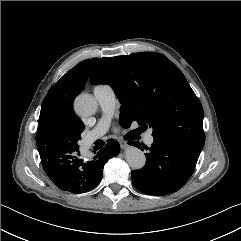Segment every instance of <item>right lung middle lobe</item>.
Segmentation results:
<instances>
[{
  "mask_svg": "<svg viewBox=\"0 0 241 241\" xmlns=\"http://www.w3.org/2000/svg\"><path fill=\"white\" fill-rule=\"evenodd\" d=\"M84 130V127H82V129L73 137V138H62V139H53L51 142L49 143H45V142H37V147L40 148L42 146H47L51 149H56L59 146H68V147H73V148H77L78 147V140L81 139L80 134L81 132Z\"/></svg>",
  "mask_w": 241,
  "mask_h": 241,
  "instance_id": "dd1d6c3e",
  "label": "right lung middle lobe"
}]
</instances>
